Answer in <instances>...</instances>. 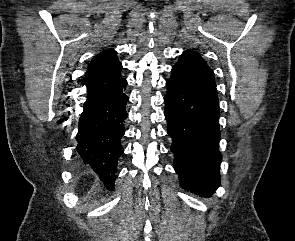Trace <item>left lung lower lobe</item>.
Wrapping results in <instances>:
<instances>
[{"mask_svg": "<svg viewBox=\"0 0 295 241\" xmlns=\"http://www.w3.org/2000/svg\"><path fill=\"white\" fill-rule=\"evenodd\" d=\"M166 87L167 132L181 187L209 197L220 184L219 101L197 92L173 71Z\"/></svg>", "mask_w": 295, "mask_h": 241, "instance_id": "1", "label": "left lung lower lobe"}]
</instances>
